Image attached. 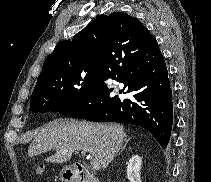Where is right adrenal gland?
I'll return each mask as SVG.
<instances>
[{
  "label": "right adrenal gland",
  "mask_w": 211,
  "mask_h": 182,
  "mask_svg": "<svg viewBox=\"0 0 211 182\" xmlns=\"http://www.w3.org/2000/svg\"><path fill=\"white\" fill-rule=\"evenodd\" d=\"M129 140H130V139H125V144L123 145V147H122L120 153L126 148L127 143L129 142ZM120 153H119V154H120Z\"/></svg>",
  "instance_id": "right-adrenal-gland-1"
}]
</instances>
